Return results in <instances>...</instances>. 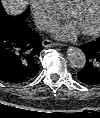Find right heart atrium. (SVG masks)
<instances>
[{
    "mask_svg": "<svg viewBox=\"0 0 100 118\" xmlns=\"http://www.w3.org/2000/svg\"><path fill=\"white\" fill-rule=\"evenodd\" d=\"M30 5L36 24L42 29L49 28L64 15L53 0H30Z\"/></svg>",
    "mask_w": 100,
    "mask_h": 118,
    "instance_id": "right-heart-atrium-1",
    "label": "right heart atrium"
}]
</instances>
